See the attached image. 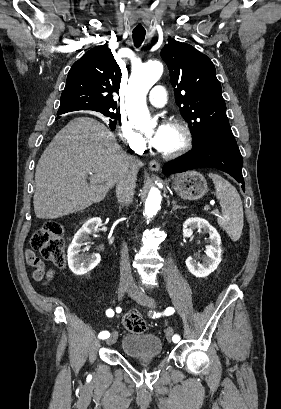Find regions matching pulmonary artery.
<instances>
[{
  "label": "pulmonary artery",
  "instance_id": "obj_1",
  "mask_svg": "<svg viewBox=\"0 0 281 409\" xmlns=\"http://www.w3.org/2000/svg\"><path fill=\"white\" fill-rule=\"evenodd\" d=\"M151 95L149 96V101L152 106H165L166 104V93L163 86H152Z\"/></svg>",
  "mask_w": 281,
  "mask_h": 409
}]
</instances>
